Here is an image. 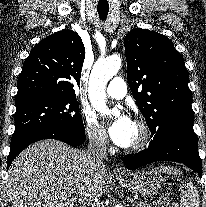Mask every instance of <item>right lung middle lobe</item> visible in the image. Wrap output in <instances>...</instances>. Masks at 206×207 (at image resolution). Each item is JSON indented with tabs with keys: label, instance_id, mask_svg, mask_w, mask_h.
<instances>
[{
	"label": "right lung middle lobe",
	"instance_id": "obj_1",
	"mask_svg": "<svg viewBox=\"0 0 206 207\" xmlns=\"http://www.w3.org/2000/svg\"><path fill=\"white\" fill-rule=\"evenodd\" d=\"M75 98L41 94L15 100V131L11 140L43 128H59L84 134L85 129Z\"/></svg>",
	"mask_w": 206,
	"mask_h": 207
}]
</instances>
